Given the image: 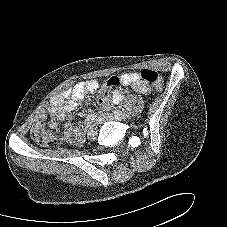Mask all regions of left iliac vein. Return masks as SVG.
Instances as JSON below:
<instances>
[{
    "label": "left iliac vein",
    "mask_w": 227,
    "mask_h": 227,
    "mask_svg": "<svg viewBox=\"0 0 227 227\" xmlns=\"http://www.w3.org/2000/svg\"><path fill=\"white\" fill-rule=\"evenodd\" d=\"M126 117H127V115H125V114L117 115V114H114V113H105L104 115H101L98 118L97 121H98V123H102L105 120H118V121H121V120H124Z\"/></svg>",
    "instance_id": "1"
}]
</instances>
